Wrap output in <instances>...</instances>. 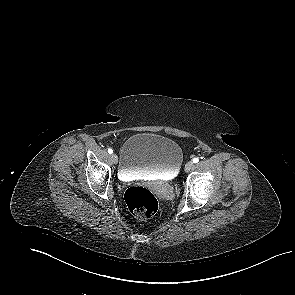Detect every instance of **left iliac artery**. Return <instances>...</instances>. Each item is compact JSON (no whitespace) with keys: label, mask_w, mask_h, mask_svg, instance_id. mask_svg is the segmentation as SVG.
Returning <instances> with one entry per match:
<instances>
[{"label":"left iliac artery","mask_w":295,"mask_h":295,"mask_svg":"<svg viewBox=\"0 0 295 295\" xmlns=\"http://www.w3.org/2000/svg\"><path fill=\"white\" fill-rule=\"evenodd\" d=\"M199 159L198 158H194L193 159V163H198Z\"/></svg>","instance_id":"obj_1"}]
</instances>
